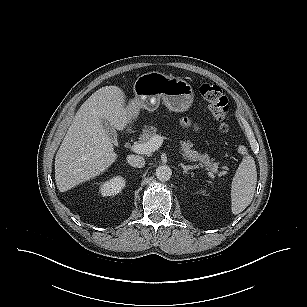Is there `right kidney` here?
<instances>
[{
    "label": "right kidney",
    "instance_id": "obj_1",
    "mask_svg": "<svg viewBox=\"0 0 307 307\" xmlns=\"http://www.w3.org/2000/svg\"><path fill=\"white\" fill-rule=\"evenodd\" d=\"M125 186V179L121 176H115L102 183L99 187L100 194L105 196L117 195Z\"/></svg>",
    "mask_w": 307,
    "mask_h": 307
}]
</instances>
